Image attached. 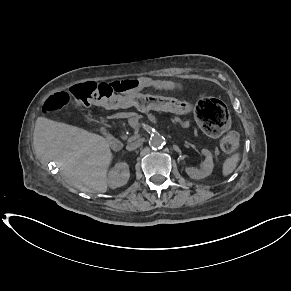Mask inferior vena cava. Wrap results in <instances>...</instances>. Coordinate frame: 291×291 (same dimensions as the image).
I'll list each match as a JSON object with an SVG mask.
<instances>
[{
  "label": "inferior vena cava",
  "instance_id": "1",
  "mask_svg": "<svg viewBox=\"0 0 291 291\" xmlns=\"http://www.w3.org/2000/svg\"><path fill=\"white\" fill-rule=\"evenodd\" d=\"M142 144H143V140L139 139V140H136V141H134L132 143L127 144L126 149L128 151H132V150H135L138 147H140Z\"/></svg>",
  "mask_w": 291,
  "mask_h": 291
}]
</instances>
